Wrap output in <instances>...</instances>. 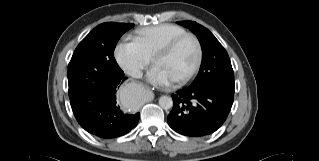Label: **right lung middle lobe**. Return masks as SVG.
Masks as SVG:
<instances>
[{
	"instance_id": "obj_1",
	"label": "right lung middle lobe",
	"mask_w": 319,
	"mask_h": 161,
	"mask_svg": "<svg viewBox=\"0 0 319 161\" xmlns=\"http://www.w3.org/2000/svg\"><path fill=\"white\" fill-rule=\"evenodd\" d=\"M134 24L103 23L95 27L77 46L68 65L69 98L86 86L109 78L120 68L113 56L120 37Z\"/></svg>"
}]
</instances>
